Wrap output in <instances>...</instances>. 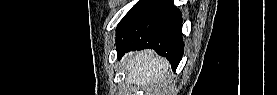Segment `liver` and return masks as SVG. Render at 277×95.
<instances>
[{
    "label": "liver",
    "instance_id": "obj_1",
    "mask_svg": "<svg viewBox=\"0 0 277 95\" xmlns=\"http://www.w3.org/2000/svg\"><path fill=\"white\" fill-rule=\"evenodd\" d=\"M124 62L127 71V82L141 86L150 87L157 91L166 81L170 63L155 54L153 50H143L129 56H125Z\"/></svg>",
    "mask_w": 277,
    "mask_h": 95
}]
</instances>
